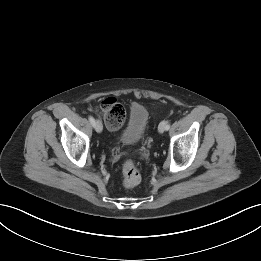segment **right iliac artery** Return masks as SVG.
<instances>
[{"label": "right iliac artery", "mask_w": 261, "mask_h": 261, "mask_svg": "<svg viewBox=\"0 0 261 261\" xmlns=\"http://www.w3.org/2000/svg\"><path fill=\"white\" fill-rule=\"evenodd\" d=\"M89 121L92 124V126L95 125V119L92 116H89Z\"/></svg>", "instance_id": "right-iliac-artery-1"}]
</instances>
